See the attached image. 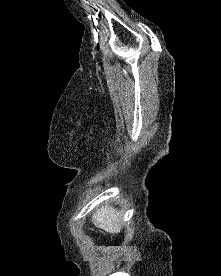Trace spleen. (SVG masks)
Returning <instances> with one entry per match:
<instances>
[{
	"label": "spleen",
	"mask_w": 221,
	"mask_h": 276,
	"mask_svg": "<svg viewBox=\"0 0 221 276\" xmlns=\"http://www.w3.org/2000/svg\"><path fill=\"white\" fill-rule=\"evenodd\" d=\"M121 221V213L108 205L102 206L92 216V222L96 227L111 234L121 231Z\"/></svg>",
	"instance_id": "obj_1"
}]
</instances>
